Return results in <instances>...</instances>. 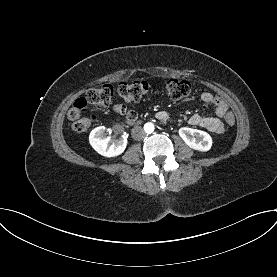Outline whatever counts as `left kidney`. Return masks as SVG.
Here are the masks:
<instances>
[{"label": "left kidney", "instance_id": "1", "mask_svg": "<svg viewBox=\"0 0 277 277\" xmlns=\"http://www.w3.org/2000/svg\"><path fill=\"white\" fill-rule=\"evenodd\" d=\"M179 135L194 150L206 152L212 146V138L207 132L183 127L179 129Z\"/></svg>", "mask_w": 277, "mask_h": 277}]
</instances>
